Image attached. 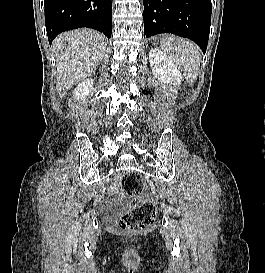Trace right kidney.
I'll return each instance as SVG.
<instances>
[{
  "instance_id": "1",
  "label": "right kidney",
  "mask_w": 265,
  "mask_h": 273,
  "mask_svg": "<svg viewBox=\"0 0 265 273\" xmlns=\"http://www.w3.org/2000/svg\"><path fill=\"white\" fill-rule=\"evenodd\" d=\"M93 88V79H85L81 83L78 84V86L75 88L73 92V96L77 100H84L89 93L91 92V89Z\"/></svg>"
}]
</instances>
